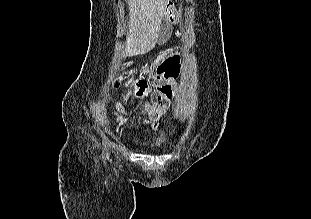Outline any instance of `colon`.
Returning a JSON list of instances; mask_svg holds the SVG:
<instances>
[{"label":"colon","instance_id":"colon-1","mask_svg":"<svg viewBox=\"0 0 311 219\" xmlns=\"http://www.w3.org/2000/svg\"><path fill=\"white\" fill-rule=\"evenodd\" d=\"M123 74L120 81H127L131 78L132 72L128 69V64L122 65ZM181 71V59L178 56H170L164 59L156 70L153 79L154 91L150 103L146 106V113L151 120L158 119L168 108L174 96V81ZM137 96H143L147 92L148 82L139 79L136 82Z\"/></svg>","mask_w":311,"mask_h":219}]
</instances>
